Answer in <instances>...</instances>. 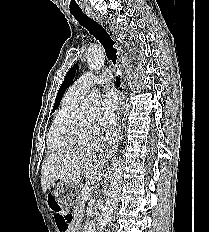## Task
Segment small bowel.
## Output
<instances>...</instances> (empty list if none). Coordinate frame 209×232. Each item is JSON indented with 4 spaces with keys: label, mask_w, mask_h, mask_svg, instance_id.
<instances>
[{
    "label": "small bowel",
    "mask_w": 209,
    "mask_h": 232,
    "mask_svg": "<svg viewBox=\"0 0 209 232\" xmlns=\"http://www.w3.org/2000/svg\"><path fill=\"white\" fill-rule=\"evenodd\" d=\"M81 217H82V211L80 209H78V210H76L70 225L65 229H61V228H59V229L61 231H64V232H80Z\"/></svg>",
    "instance_id": "obj_1"
}]
</instances>
